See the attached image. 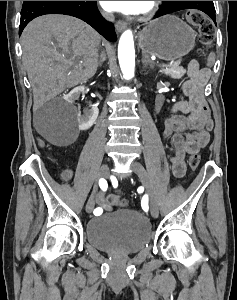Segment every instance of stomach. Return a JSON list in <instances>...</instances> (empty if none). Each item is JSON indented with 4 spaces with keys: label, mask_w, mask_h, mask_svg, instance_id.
<instances>
[{
    "label": "stomach",
    "mask_w": 237,
    "mask_h": 300,
    "mask_svg": "<svg viewBox=\"0 0 237 300\" xmlns=\"http://www.w3.org/2000/svg\"><path fill=\"white\" fill-rule=\"evenodd\" d=\"M196 33L173 15H165L150 21L141 33H138V45L143 53L154 55L164 61H175L192 51Z\"/></svg>",
    "instance_id": "1"
}]
</instances>
